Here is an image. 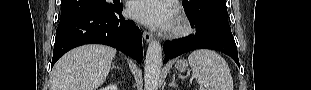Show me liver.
I'll return each instance as SVG.
<instances>
[{"mask_svg": "<svg viewBox=\"0 0 311 90\" xmlns=\"http://www.w3.org/2000/svg\"><path fill=\"white\" fill-rule=\"evenodd\" d=\"M116 49L91 44L66 53L54 66L51 90H94L106 80Z\"/></svg>", "mask_w": 311, "mask_h": 90, "instance_id": "1", "label": "liver"}]
</instances>
